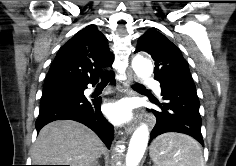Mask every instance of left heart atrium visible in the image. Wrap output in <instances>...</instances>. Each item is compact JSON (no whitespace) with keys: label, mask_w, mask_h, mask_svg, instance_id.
Returning a JSON list of instances; mask_svg holds the SVG:
<instances>
[{"label":"left heart atrium","mask_w":236,"mask_h":166,"mask_svg":"<svg viewBox=\"0 0 236 166\" xmlns=\"http://www.w3.org/2000/svg\"><path fill=\"white\" fill-rule=\"evenodd\" d=\"M106 115L114 123L127 121L131 117V107L128 102L109 105L106 109Z\"/></svg>","instance_id":"1"}]
</instances>
